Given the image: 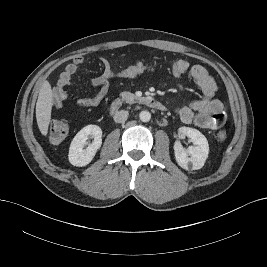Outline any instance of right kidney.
Returning <instances> with one entry per match:
<instances>
[{"label": "right kidney", "instance_id": "obj_1", "mask_svg": "<svg viewBox=\"0 0 267 267\" xmlns=\"http://www.w3.org/2000/svg\"><path fill=\"white\" fill-rule=\"evenodd\" d=\"M93 138V142L84 148L88 143L87 139ZM102 144V130L97 125H87L82 128L73 138L69 148V162L78 167L86 166L94 158L97 150Z\"/></svg>", "mask_w": 267, "mask_h": 267}]
</instances>
